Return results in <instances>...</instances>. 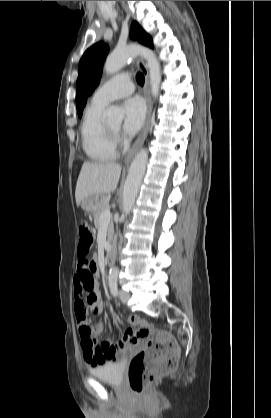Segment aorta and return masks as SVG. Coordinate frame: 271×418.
<instances>
[{
    "instance_id": "aorta-1",
    "label": "aorta",
    "mask_w": 271,
    "mask_h": 418,
    "mask_svg": "<svg viewBox=\"0 0 271 418\" xmlns=\"http://www.w3.org/2000/svg\"><path fill=\"white\" fill-rule=\"evenodd\" d=\"M138 55L142 56L147 61L151 94L153 98H157L161 82V68L160 63L152 50L139 45L117 48L107 56L104 64V71L107 74H114L122 69L130 58ZM105 117L108 122L121 124L124 118V112L118 106H111L106 111ZM147 159L148 152L146 149L142 148L130 165L123 190V216H127L131 212L135 203L146 170ZM117 273V268L112 267L109 272V279L115 280Z\"/></svg>"
}]
</instances>
